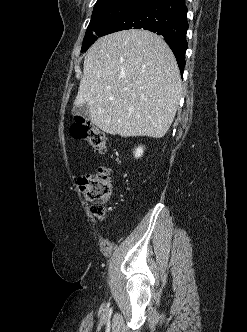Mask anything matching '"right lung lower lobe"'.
I'll return each mask as SVG.
<instances>
[{
    "label": "right lung lower lobe",
    "instance_id": "1",
    "mask_svg": "<svg viewBox=\"0 0 247 332\" xmlns=\"http://www.w3.org/2000/svg\"><path fill=\"white\" fill-rule=\"evenodd\" d=\"M128 29H145L161 35L170 46L183 73L188 47L185 0H147L110 24L102 36Z\"/></svg>",
    "mask_w": 247,
    "mask_h": 332
}]
</instances>
